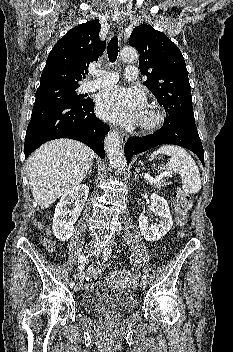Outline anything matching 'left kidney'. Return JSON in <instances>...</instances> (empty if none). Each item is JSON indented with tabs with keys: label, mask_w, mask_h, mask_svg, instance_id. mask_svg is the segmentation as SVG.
I'll return each instance as SVG.
<instances>
[{
	"label": "left kidney",
	"mask_w": 233,
	"mask_h": 352,
	"mask_svg": "<svg viewBox=\"0 0 233 352\" xmlns=\"http://www.w3.org/2000/svg\"><path fill=\"white\" fill-rule=\"evenodd\" d=\"M142 197L147 199L148 195L143 194ZM150 198L151 206L154 209L156 216L160 217V221L158 224L150 226L148 218L141 213L139 216V228L145 240L154 242L159 240L171 229L173 221L167 201L156 193L151 194Z\"/></svg>",
	"instance_id": "obj_1"
}]
</instances>
